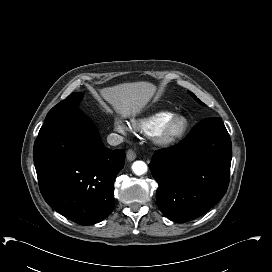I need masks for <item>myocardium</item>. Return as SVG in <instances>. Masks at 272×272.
<instances>
[{"mask_svg":"<svg viewBox=\"0 0 272 272\" xmlns=\"http://www.w3.org/2000/svg\"><path fill=\"white\" fill-rule=\"evenodd\" d=\"M187 128V121L181 116H175L157 132V140L162 144L175 143L185 135Z\"/></svg>","mask_w":272,"mask_h":272,"instance_id":"myocardium-1","label":"myocardium"}]
</instances>
